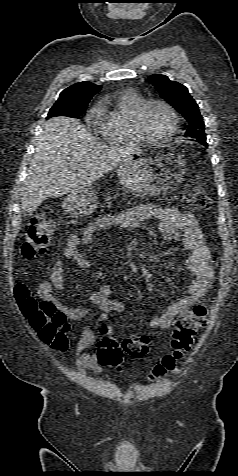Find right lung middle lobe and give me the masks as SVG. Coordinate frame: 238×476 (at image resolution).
<instances>
[{"instance_id":"1","label":"right lung middle lobe","mask_w":238,"mask_h":476,"mask_svg":"<svg viewBox=\"0 0 238 476\" xmlns=\"http://www.w3.org/2000/svg\"><path fill=\"white\" fill-rule=\"evenodd\" d=\"M87 108V104L72 102L68 99H58L48 113V117L69 116L79 117Z\"/></svg>"}]
</instances>
